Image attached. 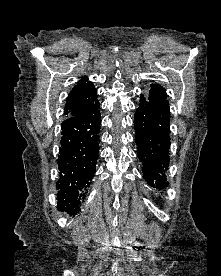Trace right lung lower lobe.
I'll list each match as a JSON object with an SVG mask.
<instances>
[{
	"mask_svg": "<svg viewBox=\"0 0 221 276\" xmlns=\"http://www.w3.org/2000/svg\"><path fill=\"white\" fill-rule=\"evenodd\" d=\"M99 108L97 101L83 115L68 117L61 124L57 207L69 214L80 211L95 174L101 124Z\"/></svg>",
	"mask_w": 221,
	"mask_h": 276,
	"instance_id": "98d812e1",
	"label": "right lung lower lobe"
}]
</instances>
